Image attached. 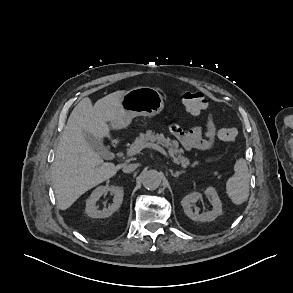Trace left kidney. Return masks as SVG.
Masks as SVG:
<instances>
[{
    "label": "left kidney",
    "instance_id": "5707ae66",
    "mask_svg": "<svg viewBox=\"0 0 293 293\" xmlns=\"http://www.w3.org/2000/svg\"><path fill=\"white\" fill-rule=\"evenodd\" d=\"M205 195L211 200L212 210L202 214H199L197 210L193 211V207L197 201L202 199V195L200 193H190L186 195L181 201L184 213L193 221H213L222 214V203L215 188L208 187L205 190Z\"/></svg>",
    "mask_w": 293,
    "mask_h": 293
}]
</instances>
